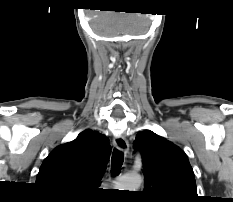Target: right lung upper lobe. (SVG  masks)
Listing matches in <instances>:
<instances>
[{
  "label": "right lung upper lobe",
  "mask_w": 233,
  "mask_h": 202,
  "mask_svg": "<svg viewBox=\"0 0 233 202\" xmlns=\"http://www.w3.org/2000/svg\"><path fill=\"white\" fill-rule=\"evenodd\" d=\"M110 152L107 137L97 131L85 130L47 156L36 183L59 196L86 194L100 185Z\"/></svg>",
  "instance_id": "1"
}]
</instances>
